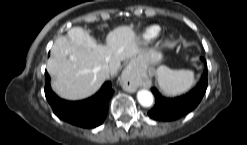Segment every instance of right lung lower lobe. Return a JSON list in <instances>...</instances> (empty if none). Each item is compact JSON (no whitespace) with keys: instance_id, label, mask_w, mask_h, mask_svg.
<instances>
[{"instance_id":"1","label":"right lung lower lobe","mask_w":247,"mask_h":145,"mask_svg":"<svg viewBox=\"0 0 247 145\" xmlns=\"http://www.w3.org/2000/svg\"><path fill=\"white\" fill-rule=\"evenodd\" d=\"M45 79V95L57 117L83 128H94L103 123L108 112V102L114 93L110 82H106L93 97L73 102L60 99L53 93L47 72Z\"/></svg>"}]
</instances>
